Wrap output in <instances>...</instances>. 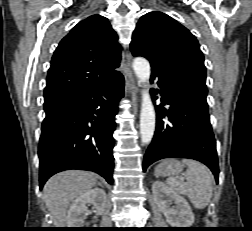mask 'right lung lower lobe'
Wrapping results in <instances>:
<instances>
[{
	"label": "right lung lower lobe",
	"mask_w": 252,
	"mask_h": 231,
	"mask_svg": "<svg viewBox=\"0 0 252 231\" xmlns=\"http://www.w3.org/2000/svg\"><path fill=\"white\" fill-rule=\"evenodd\" d=\"M123 86L122 76L82 90L46 112L38 151L40 189L49 177L68 169L93 171L113 182V132Z\"/></svg>",
	"instance_id": "right-lung-lower-lobe-1"
}]
</instances>
